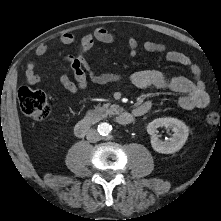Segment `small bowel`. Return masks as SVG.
Returning <instances> with one entry per match:
<instances>
[{"instance_id": "c3829d8e", "label": "small bowel", "mask_w": 221, "mask_h": 221, "mask_svg": "<svg viewBox=\"0 0 221 221\" xmlns=\"http://www.w3.org/2000/svg\"><path fill=\"white\" fill-rule=\"evenodd\" d=\"M58 40L63 45H71L76 41L72 33H63L59 36ZM115 40V34L103 27L97 28L92 33L81 37L78 43L77 53L67 54L64 57V61L68 63L72 69L74 80L67 74L57 76V80L63 88L71 94H76L79 91L86 90L89 81L97 84L121 81L123 79L121 74L114 72H96L86 57L96 43H113ZM139 47L140 44L135 38H129L128 56L130 58L136 57ZM142 47L147 52L163 54L169 62L186 67L192 73L193 79L183 76H168L159 70H145L136 72L129 77L130 82L135 87L140 89L155 87L179 93L178 103L184 110L203 109L208 106L210 97L200 79V68L192 62L187 55L179 51L169 50L165 44L160 42L145 41ZM48 50V44L41 43L37 46L35 53L37 56H44ZM25 78L26 82L30 85H36L41 82L42 77L37 73L36 63L34 61H30L26 64ZM143 104H148L151 107L150 102ZM138 107L135 108L134 112L138 111Z\"/></svg>"}]
</instances>
